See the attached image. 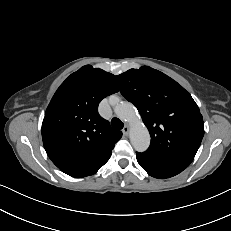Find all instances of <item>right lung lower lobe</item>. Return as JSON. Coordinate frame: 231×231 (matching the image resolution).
Segmentation results:
<instances>
[{
  "label": "right lung lower lobe",
  "instance_id": "obj_1",
  "mask_svg": "<svg viewBox=\"0 0 231 231\" xmlns=\"http://www.w3.org/2000/svg\"><path fill=\"white\" fill-rule=\"evenodd\" d=\"M110 156H111V154H109L104 159H102L97 165H95L92 168H90L89 170L81 173L77 177H85V176L95 174L98 171V169L101 168L109 160Z\"/></svg>",
  "mask_w": 231,
  "mask_h": 231
}]
</instances>
